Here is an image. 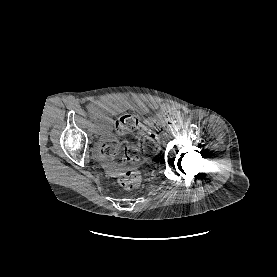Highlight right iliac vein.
I'll use <instances>...</instances> for the list:
<instances>
[{
	"label": "right iliac vein",
	"instance_id": "63e3f726",
	"mask_svg": "<svg viewBox=\"0 0 277 277\" xmlns=\"http://www.w3.org/2000/svg\"><path fill=\"white\" fill-rule=\"evenodd\" d=\"M94 134H95V136H98V135H99V130H98V129H95V130H94Z\"/></svg>",
	"mask_w": 277,
	"mask_h": 277
}]
</instances>
